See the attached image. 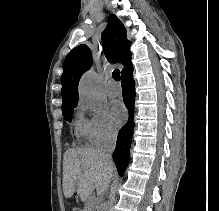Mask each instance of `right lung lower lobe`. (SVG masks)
Wrapping results in <instances>:
<instances>
[{"instance_id": "1", "label": "right lung lower lobe", "mask_w": 219, "mask_h": 211, "mask_svg": "<svg viewBox=\"0 0 219 211\" xmlns=\"http://www.w3.org/2000/svg\"><path fill=\"white\" fill-rule=\"evenodd\" d=\"M132 71L133 65L131 64L125 67L121 72L123 98L129 112V119L118 134L117 145L113 153V160L120 176L124 174L130 161L129 149L134 129L135 83Z\"/></svg>"}]
</instances>
